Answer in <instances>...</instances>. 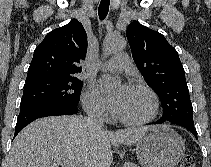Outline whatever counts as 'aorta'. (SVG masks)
<instances>
[{"label":"aorta","mask_w":211,"mask_h":167,"mask_svg":"<svg viewBox=\"0 0 211 167\" xmlns=\"http://www.w3.org/2000/svg\"><path fill=\"white\" fill-rule=\"evenodd\" d=\"M127 42L121 36H107L103 43V52L105 55H111L125 49Z\"/></svg>","instance_id":"1"}]
</instances>
